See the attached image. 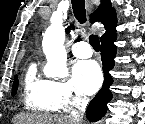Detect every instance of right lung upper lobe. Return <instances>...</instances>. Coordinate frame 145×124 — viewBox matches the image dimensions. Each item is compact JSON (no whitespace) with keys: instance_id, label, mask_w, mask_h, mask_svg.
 <instances>
[{"instance_id":"1","label":"right lung upper lobe","mask_w":145,"mask_h":124,"mask_svg":"<svg viewBox=\"0 0 145 124\" xmlns=\"http://www.w3.org/2000/svg\"><path fill=\"white\" fill-rule=\"evenodd\" d=\"M95 21L104 25L106 32L103 36L116 30V13L114 8L111 7L110 0H101L99 8L91 15V22Z\"/></svg>"}]
</instances>
